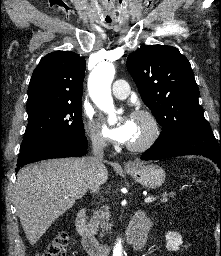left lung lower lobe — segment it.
<instances>
[{
	"label": "left lung lower lobe",
	"instance_id": "1",
	"mask_svg": "<svg viewBox=\"0 0 221 256\" xmlns=\"http://www.w3.org/2000/svg\"><path fill=\"white\" fill-rule=\"evenodd\" d=\"M181 155L205 156L216 163L221 171V141L217 142L210 125L197 129L178 127L172 133L159 136L141 159L158 160Z\"/></svg>",
	"mask_w": 221,
	"mask_h": 256
}]
</instances>
